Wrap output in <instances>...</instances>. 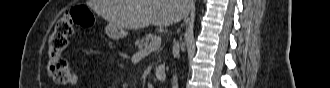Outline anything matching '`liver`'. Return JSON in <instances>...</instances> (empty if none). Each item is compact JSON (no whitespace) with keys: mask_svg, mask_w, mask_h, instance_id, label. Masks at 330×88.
<instances>
[{"mask_svg":"<svg viewBox=\"0 0 330 88\" xmlns=\"http://www.w3.org/2000/svg\"><path fill=\"white\" fill-rule=\"evenodd\" d=\"M192 0H99L97 12L119 29L167 27L188 15Z\"/></svg>","mask_w":330,"mask_h":88,"instance_id":"1","label":"liver"}]
</instances>
